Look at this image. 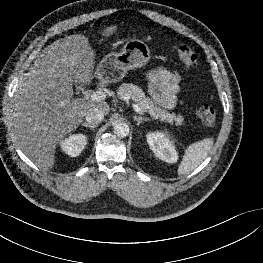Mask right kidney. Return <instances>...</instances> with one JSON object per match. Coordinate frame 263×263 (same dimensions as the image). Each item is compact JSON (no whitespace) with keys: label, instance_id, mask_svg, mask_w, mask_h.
Returning a JSON list of instances; mask_svg holds the SVG:
<instances>
[{"label":"right kidney","instance_id":"right-kidney-1","mask_svg":"<svg viewBox=\"0 0 263 263\" xmlns=\"http://www.w3.org/2000/svg\"><path fill=\"white\" fill-rule=\"evenodd\" d=\"M87 144V137L84 134H74L61 141L62 150L71 157L79 156Z\"/></svg>","mask_w":263,"mask_h":263}]
</instances>
